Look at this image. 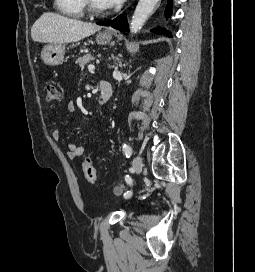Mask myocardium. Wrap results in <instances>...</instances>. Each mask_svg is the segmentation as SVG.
<instances>
[{
	"label": "myocardium",
	"mask_w": 255,
	"mask_h": 272,
	"mask_svg": "<svg viewBox=\"0 0 255 272\" xmlns=\"http://www.w3.org/2000/svg\"><path fill=\"white\" fill-rule=\"evenodd\" d=\"M84 4L87 11L92 15L98 16L105 12L103 9H100L95 5L94 0H84Z\"/></svg>",
	"instance_id": "1"
}]
</instances>
